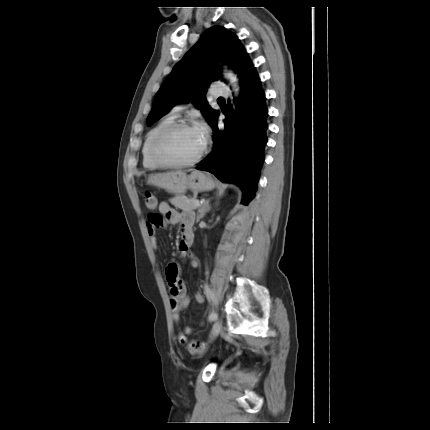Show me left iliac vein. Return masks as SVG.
<instances>
[{"mask_svg":"<svg viewBox=\"0 0 430 430\" xmlns=\"http://www.w3.org/2000/svg\"><path fill=\"white\" fill-rule=\"evenodd\" d=\"M222 329V324L220 320H216L213 327H212V331H211V339H214L218 336V334L220 333Z\"/></svg>","mask_w":430,"mask_h":430,"instance_id":"obj_1","label":"left iliac vein"}]
</instances>
